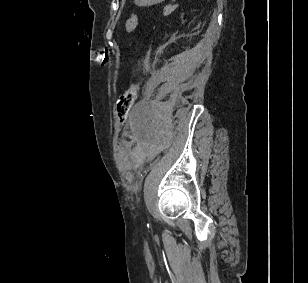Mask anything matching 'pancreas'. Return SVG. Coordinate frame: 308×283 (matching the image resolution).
<instances>
[{"instance_id": "obj_1", "label": "pancreas", "mask_w": 308, "mask_h": 283, "mask_svg": "<svg viewBox=\"0 0 308 283\" xmlns=\"http://www.w3.org/2000/svg\"><path fill=\"white\" fill-rule=\"evenodd\" d=\"M170 12H171V8H170V7H165V8H164V15H165V16H166V15H169Z\"/></svg>"}]
</instances>
